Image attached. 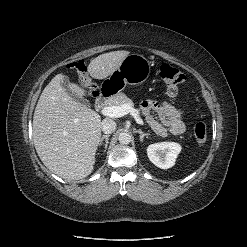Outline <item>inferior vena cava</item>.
<instances>
[{
	"mask_svg": "<svg viewBox=\"0 0 247 247\" xmlns=\"http://www.w3.org/2000/svg\"><path fill=\"white\" fill-rule=\"evenodd\" d=\"M103 133L111 134L116 129V123L110 118H105L101 123Z\"/></svg>",
	"mask_w": 247,
	"mask_h": 247,
	"instance_id": "inferior-vena-cava-1",
	"label": "inferior vena cava"
}]
</instances>
